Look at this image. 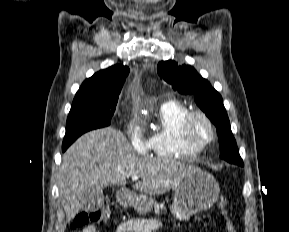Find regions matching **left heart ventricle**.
Returning a JSON list of instances; mask_svg holds the SVG:
<instances>
[{
    "instance_id": "left-heart-ventricle-1",
    "label": "left heart ventricle",
    "mask_w": 289,
    "mask_h": 232,
    "mask_svg": "<svg viewBox=\"0 0 289 232\" xmlns=\"http://www.w3.org/2000/svg\"><path fill=\"white\" fill-rule=\"evenodd\" d=\"M192 136L198 142L208 140L210 137L209 127L204 121L197 119L192 126Z\"/></svg>"
}]
</instances>
